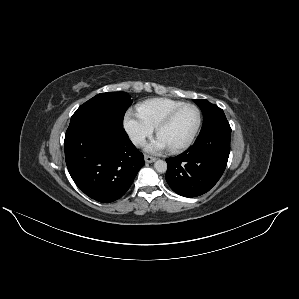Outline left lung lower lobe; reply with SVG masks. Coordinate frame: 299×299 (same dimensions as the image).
I'll return each instance as SVG.
<instances>
[{
	"instance_id": "obj_1",
	"label": "left lung lower lobe",
	"mask_w": 299,
	"mask_h": 299,
	"mask_svg": "<svg viewBox=\"0 0 299 299\" xmlns=\"http://www.w3.org/2000/svg\"><path fill=\"white\" fill-rule=\"evenodd\" d=\"M231 127L219 123L200 132L194 144L182 154L167 158L166 180L184 197L208 192L222 176L230 153Z\"/></svg>"
}]
</instances>
